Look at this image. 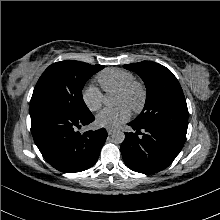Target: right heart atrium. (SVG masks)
Wrapping results in <instances>:
<instances>
[{
	"mask_svg": "<svg viewBox=\"0 0 220 220\" xmlns=\"http://www.w3.org/2000/svg\"><path fill=\"white\" fill-rule=\"evenodd\" d=\"M82 101L92 112L99 110L103 104V93L95 85H87L81 93Z\"/></svg>",
	"mask_w": 220,
	"mask_h": 220,
	"instance_id": "right-heart-atrium-1",
	"label": "right heart atrium"
}]
</instances>
